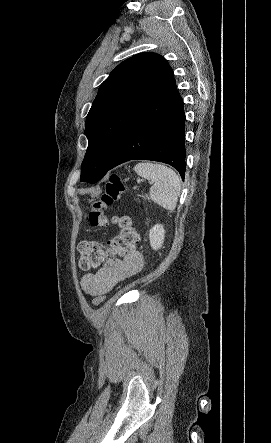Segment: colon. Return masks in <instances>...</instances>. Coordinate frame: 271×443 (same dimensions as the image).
I'll use <instances>...</instances> for the list:
<instances>
[{
  "mask_svg": "<svg viewBox=\"0 0 271 443\" xmlns=\"http://www.w3.org/2000/svg\"><path fill=\"white\" fill-rule=\"evenodd\" d=\"M126 191L124 181L117 175H112L105 184L104 192L100 197L91 202L89 220L92 226L106 227L109 224H116L119 233L107 244L95 241H82L78 246L80 253L79 267L84 271L96 269L103 262L114 256H122L134 250L138 241V233L127 216L109 218L106 209L120 199ZM105 299L104 295H97L93 298L94 306H99Z\"/></svg>",
  "mask_w": 271,
  "mask_h": 443,
  "instance_id": "5ec220e1",
  "label": "colon"
}]
</instances>
